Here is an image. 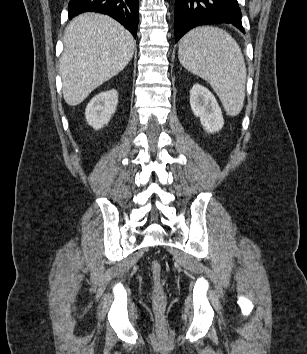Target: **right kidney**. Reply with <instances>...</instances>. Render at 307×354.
Listing matches in <instances>:
<instances>
[{"mask_svg":"<svg viewBox=\"0 0 307 354\" xmlns=\"http://www.w3.org/2000/svg\"><path fill=\"white\" fill-rule=\"evenodd\" d=\"M118 93L115 89L101 92L91 99L85 109L87 123L95 130L103 128L116 111Z\"/></svg>","mask_w":307,"mask_h":354,"instance_id":"right-kidney-1","label":"right kidney"}]
</instances>
